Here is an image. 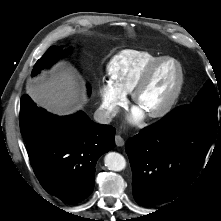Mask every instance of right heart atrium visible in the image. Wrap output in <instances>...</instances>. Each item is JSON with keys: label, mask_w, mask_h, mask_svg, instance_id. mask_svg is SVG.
I'll use <instances>...</instances> for the list:
<instances>
[{"label": "right heart atrium", "mask_w": 221, "mask_h": 221, "mask_svg": "<svg viewBox=\"0 0 221 221\" xmlns=\"http://www.w3.org/2000/svg\"><path fill=\"white\" fill-rule=\"evenodd\" d=\"M101 108L108 117L115 116L126 102V94L118 90L110 81H103L99 86Z\"/></svg>", "instance_id": "right-heart-atrium-1"}]
</instances>
